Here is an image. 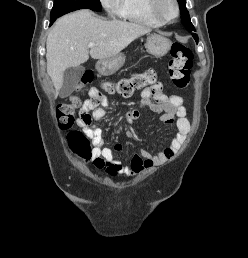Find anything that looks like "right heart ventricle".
Segmentation results:
<instances>
[{"label": "right heart ventricle", "mask_w": 248, "mask_h": 258, "mask_svg": "<svg viewBox=\"0 0 248 258\" xmlns=\"http://www.w3.org/2000/svg\"><path fill=\"white\" fill-rule=\"evenodd\" d=\"M149 2V0H123L120 16L130 22L160 27L162 24L150 13Z\"/></svg>", "instance_id": "1"}]
</instances>
